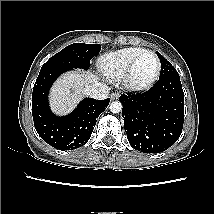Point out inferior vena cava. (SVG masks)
Listing matches in <instances>:
<instances>
[{"label": "inferior vena cava", "instance_id": "1", "mask_svg": "<svg viewBox=\"0 0 214 214\" xmlns=\"http://www.w3.org/2000/svg\"><path fill=\"white\" fill-rule=\"evenodd\" d=\"M85 93L90 98L104 100L108 98L109 87L103 83L97 82L85 88Z\"/></svg>", "mask_w": 214, "mask_h": 214}]
</instances>
